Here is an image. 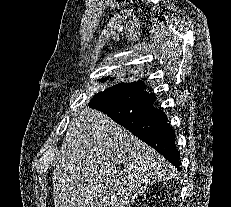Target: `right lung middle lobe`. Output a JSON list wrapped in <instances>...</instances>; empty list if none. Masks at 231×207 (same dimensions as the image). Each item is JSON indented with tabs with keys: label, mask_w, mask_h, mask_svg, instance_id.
<instances>
[{
	"label": "right lung middle lobe",
	"mask_w": 231,
	"mask_h": 207,
	"mask_svg": "<svg viewBox=\"0 0 231 207\" xmlns=\"http://www.w3.org/2000/svg\"><path fill=\"white\" fill-rule=\"evenodd\" d=\"M124 83H119L115 86H112L110 88H107L106 90H104L103 92L98 93L100 95V100L103 99H109L112 100L114 98H119L122 97V90H123V85ZM96 96V95H95ZM94 98V97H93Z\"/></svg>",
	"instance_id": "dd1d6c3e"
}]
</instances>
